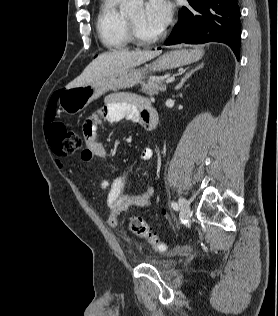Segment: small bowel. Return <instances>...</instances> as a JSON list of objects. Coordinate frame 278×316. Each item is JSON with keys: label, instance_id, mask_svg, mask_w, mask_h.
Returning <instances> with one entry per match:
<instances>
[{"label": "small bowel", "instance_id": "c3829d8e", "mask_svg": "<svg viewBox=\"0 0 278 316\" xmlns=\"http://www.w3.org/2000/svg\"><path fill=\"white\" fill-rule=\"evenodd\" d=\"M149 100L131 93H115L108 95L104 100V105L97 110L83 124V134L86 147L81 153V158L85 162H94L96 159L106 158L108 153L102 143L97 140L98 129L101 124L107 122H118L128 119L133 122H142L145 110L150 107ZM153 157V150L146 147L140 154V161L147 162ZM129 183V173L123 172L117 177L109 187L105 180L100 182L103 190L107 191V206L110 209L108 225L116 229L119 224V215L132 206L142 207L149 204L154 189L148 186L143 192L134 193L127 191ZM166 217V213H162Z\"/></svg>", "mask_w": 278, "mask_h": 316}]
</instances>
